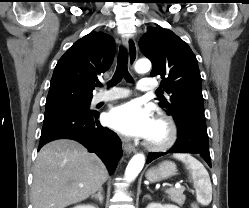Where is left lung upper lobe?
<instances>
[{
	"mask_svg": "<svg viewBox=\"0 0 249 208\" xmlns=\"http://www.w3.org/2000/svg\"><path fill=\"white\" fill-rule=\"evenodd\" d=\"M143 54L152 62L151 77L162 79L160 86L170 95L159 105L174 119L183 113L204 116L201 76L191 48L171 30L156 27L139 41Z\"/></svg>",
	"mask_w": 249,
	"mask_h": 208,
	"instance_id": "1",
	"label": "left lung upper lobe"
}]
</instances>
